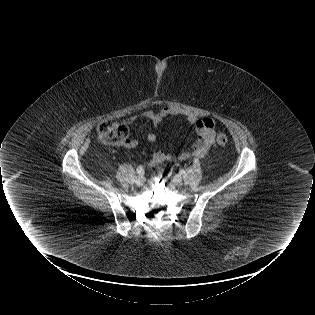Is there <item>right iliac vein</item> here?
Segmentation results:
<instances>
[{"label": "right iliac vein", "instance_id": "right-iliac-vein-1", "mask_svg": "<svg viewBox=\"0 0 315 315\" xmlns=\"http://www.w3.org/2000/svg\"><path fill=\"white\" fill-rule=\"evenodd\" d=\"M144 180L145 179H144L143 176H139V177L136 178L135 183H136V185L141 186V185H143Z\"/></svg>", "mask_w": 315, "mask_h": 315}]
</instances>
